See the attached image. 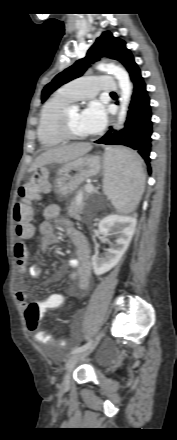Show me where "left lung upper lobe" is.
<instances>
[{
  "instance_id": "obj_1",
  "label": "left lung upper lobe",
  "mask_w": 177,
  "mask_h": 440,
  "mask_svg": "<svg viewBox=\"0 0 177 440\" xmlns=\"http://www.w3.org/2000/svg\"><path fill=\"white\" fill-rule=\"evenodd\" d=\"M102 57H109L120 61L129 74L138 67L134 61L133 55L126 48V43L120 38L114 37L112 33L108 31L103 32L89 48L86 57L76 61L73 65L60 72L44 87L42 91V102H44L53 91L63 84L80 77L91 63L98 61Z\"/></svg>"
}]
</instances>
